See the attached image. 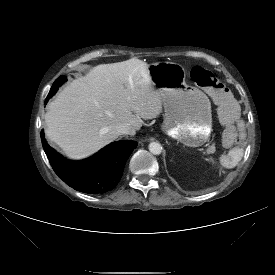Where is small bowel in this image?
Wrapping results in <instances>:
<instances>
[{
	"label": "small bowel",
	"mask_w": 275,
	"mask_h": 275,
	"mask_svg": "<svg viewBox=\"0 0 275 275\" xmlns=\"http://www.w3.org/2000/svg\"><path fill=\"white\" fill-rule=\"evenodd\" d=\"M218 118L224 126V149L219 156V165L232 170L239 166L247 149V138L243 133L244 122L241 119L240 106L233 97L218 106Z\"/></svg>",
	"instance_id": "1"
}]
</instances>
